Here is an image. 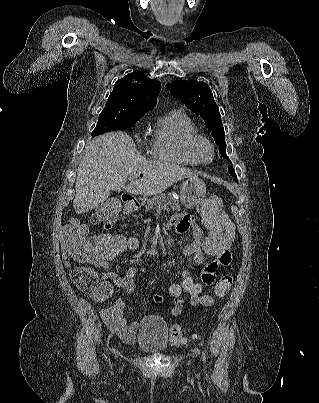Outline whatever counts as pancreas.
<instances>
[{"instance_id":"1","label":"pancreas","mask_w":319,"mask_h":403,"mask_svg":"<svg viewBox=\"0 0 319 403\" xmlns=\"http://www.w3.org/2000/svg\"><path fill=\"white\" fill-rule=\"evenodd\" d=\"M170 206L175 211H180V205L176 199L172 197L171 194H158L155 195L152 199L148 200L146 210L156 208H166Z\"/></svg>"}]
</instances>
